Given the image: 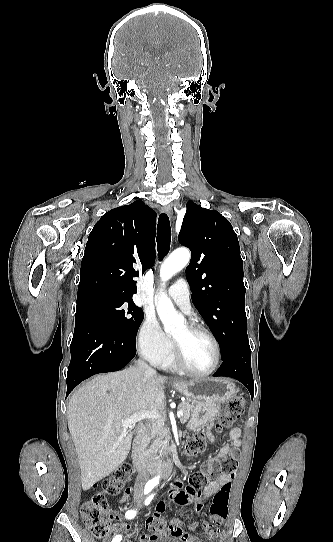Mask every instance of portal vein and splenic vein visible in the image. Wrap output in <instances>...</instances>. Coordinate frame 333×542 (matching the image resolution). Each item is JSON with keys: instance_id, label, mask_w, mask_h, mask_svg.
Returning a JSON list of instances; mask_svg holds the SVG:
<instances>
[{"instance_id": "1", "label": "portal vein and splenic vein", "mask_w": 333, "mask_h": 542, "mask_svg": "<svg viewBox=\"0 0 333 542\" xmlns=\"http://www.w3.org/2000/svg\"><path fill=\"white\" fill-rule=\"evenodd\" d=\"M183 416V412H177V418H181ZM145 418H152V420H158V418H161V414L159 410H150V412H137V414H133V416H130V418H127V420H122L123 426H132V424H136V422H141V420H145Z\"/></svg>"}]
</instances>
